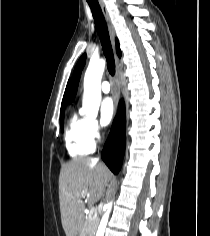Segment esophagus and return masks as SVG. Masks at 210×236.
<instances>
[{"mask_svg":"<svg viewBox=\"0 0 210 236\" xmlns=\"http://www.w3.org/2000/svg\"><path fill=\"white\" fill-rule=\"evenodd\" d=\"M101 5V9L102 12L104 14L106 23H107V27H108V31L110 34V38H111V42H112V46L114 49V55H115V63H116V92H115V108H116V112L118 109V102H119V97H120V87H121V83H120V70H121V63L120 60L116 54V50H115V29L114 26L111 22L109 13L105 7V5L103 4V2H100Z\"/></svg>","mask_w":210,"mask_h":236,"instance_id":"1","label":"esophagus"}]
</instances>
